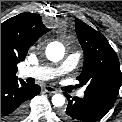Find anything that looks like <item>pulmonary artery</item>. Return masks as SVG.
I'll list each match as a JSON object with an SVG mask.
<instances>
[{
	"label": "pulmonary artery",
	"mask_w": 122,
	"mask_h": 122,
	"mask_svg": "<svg viewBox=\"0 0 122 122\" xmlns=\"http://www.w3.org/2000/svg\"><path fill=\"white\" fill-rule=\"evenodd\" d=\"M81 54L79 52L70 53L58 68L44 66L26 67L20 71L21 77H32L38 80H49L56 76L72 71L78 64ZM79 97L84 96L83 91L78 92Z\"/></svg>",
	"instance_id": "e3ab8cb5"
}]
</instances>
